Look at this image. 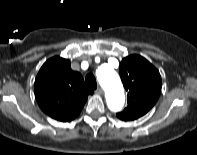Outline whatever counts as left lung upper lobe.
Listing matches in <instances>:
<instances>
[{"instance_id": "left-lung-upper-lobe-1", "label": "left lung upper lobe", "mask_w": 197, "mask_h": 155, "mask_svg": "<svg viewBox=\"0 0 197 155\" xmlns=\"http://www.w3.org/2000/svg\"><path fill=\"white\" fill-rule=\"evenodd\" d=\"M119 72L129 95L128 106L117 116L123 121L138 119L157 102L161 93V76L150 62L139 55L125 57Z\"/></svg>"}]
</instances>
